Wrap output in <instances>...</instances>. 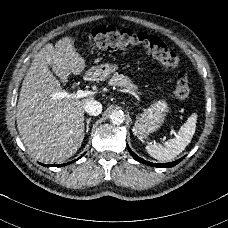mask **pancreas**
Returning <instances> with one entry per match:
<instances>
[{"mask_svg": "<svg viewBox=\"0 0 228 228\" xmlns=\"http://www.w3.org/2000/svg\"><path fill=\"white\" fill-rule=\"evenodd\" d=\"M111 86H119L128 89L130 92H136L138 87L133 84L132 81L123 74L115 73L108 82Z\"/></svg>", "mask_w": 228, "mask_h": 228, "instance_id": "cf45deb5", "label": "pancreas"}]
</instances>
